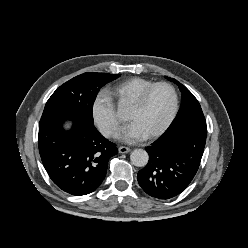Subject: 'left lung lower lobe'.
Wrapping results in <instances>:
<instances>
[{"mask_svg":"<svg viewBox=\"0 0 248 248\" xmlns=\"http://www.w3.org/2000/svg\"><path fill=\"white\" fill-rule=\"evenodd\" d=\"M207 127L185 124L166 131L151 146L148 164L138 172V182L150 196L170 199L194 178L203 155Z\"/></svg>","mask_w":248,"mask_h":248,"instance_id":"left-lung-lower-lobe-1","label":"left lung lower lobe"}]
</instances>
